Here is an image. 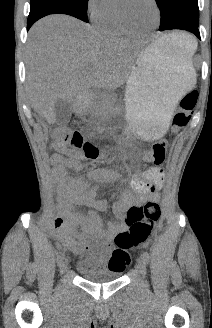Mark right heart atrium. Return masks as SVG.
Instances as JSON below:
<instances>
[{"label": "right heart atrium", "mask_w": 212, "mask_h": 328, "mask_svg": "<svg viewBox=\"0 0 212 328\" xmlns=\"http://www.w3.org/2000/svg\"><path fill=\"white\" fill-rule=\"evenodd\" d=\"M86 7L90 19L98 22L112 7V0H87Z\"/></svg>", "instance_id": "1"}]
</instances>
